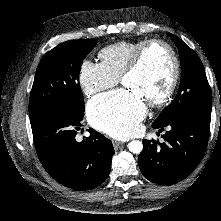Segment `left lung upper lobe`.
<instances>
[{
	"mask_svg": "<svg viewBox=\"0 0 221 221\" xmlns=\"http://www.w3.org/2000/svg\"><path fill=\"white\" fill-rule=\"evenodd\" d=\"M175 42L181 58V81L178 93L153 122L164 125L191 112L211 114L212 94L203 64L197 54L177 36L168 33Z\"/></svg>",
	"mask_w": 221,
	"mask_h": 221,
	"instance_id": "1",
	"label": "left lung upper lobe"
}]
</instances>
